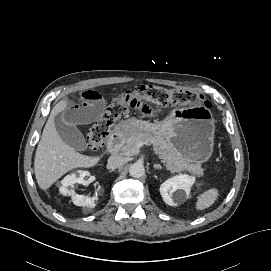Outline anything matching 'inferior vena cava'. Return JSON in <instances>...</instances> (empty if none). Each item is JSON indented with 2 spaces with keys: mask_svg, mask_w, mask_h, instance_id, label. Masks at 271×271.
<instances>
[{
  "mask_svg": "<svg viewBox=\"0 0 271 271\" xmlns=\"http://www.w3.org/2000/svg\"><path fill=\"white\" fill-rule=\"evenodd\" d=\"M126 161L127 159L123 156H110L107 165L110 169H115L123 166Z\"/></svg>",
  "mask_w": 271,
  "mask_h": 271,
  "instance_id": "602c4592",
  "label": "inferior vena cava"
}]
</instances>
